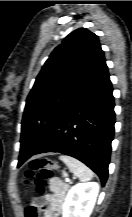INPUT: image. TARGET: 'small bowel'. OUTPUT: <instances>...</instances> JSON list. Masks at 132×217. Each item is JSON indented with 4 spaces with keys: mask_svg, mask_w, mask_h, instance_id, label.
Returning a JSON list of instances; mask_svg holds the SVG:
<instances>
[{
    "mask_svg": "<svg viewBox=\"0 0 132 217\" xmlns=\"http://www.w3.org/2000/svg\"><path fill=\"white\" fill-rule=\"evenodd\" d=\"M49 186L50 193L45 196L47 204L43 205L41 200H34L32 206L41 207L44 211L43 217H59L65 202L68 185L59 178H53L50 180Z\"/></svg>",
    "mask_w": 132,
    "mask_h": 217,
    "instance_id": "c3829d8e",
    "label": "small bowel"
}]
</instances>
